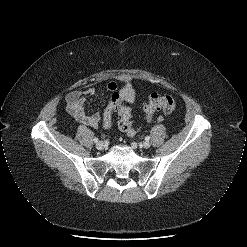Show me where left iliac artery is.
I'll return each instance as SVG.
<instances>
[{"mask_svg":"<svg viewBox=\"0 0 247 247\" xmlns=\"http://www.w3.org/2000/svg\"><path fill=\"white\" fill-rule=\"evenodd\" d=\"M145 140H146V141H149V140H150V136H146V137H145Z\"/></svg>","mask_w":247,"mask_h":247,"instance_id":"obj_1","label":"left iliac artery"}]
</instances>
